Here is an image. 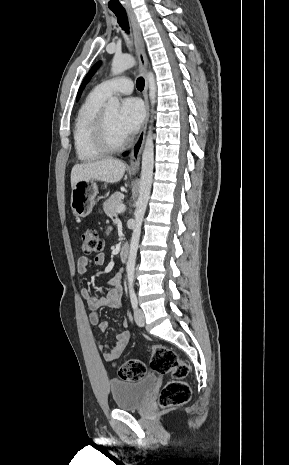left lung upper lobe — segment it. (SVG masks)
<instances>
[{
	"instance_id": "5c2ea615",
	"label": "left lung upper lobe",
	"mask_w": 289,
	"mask_h": 465,
	"mask_svg": "<svg viewBox=\"0 0 289 465\" xmlns=\"http://www.w3.org/2000/svg\"><path fill=\"white\" fill-rule=\"evenodd\" d=\"M100 65V62H98L97 64H95L93 66V68L89 71V73L86 75L85 79L83 80L80 88H79V91H78V95H77V99H79L80 95H81V92L83 90V88L85 87V85L89 82L90 78L92 77V75L94 74V72L96 71V69L98 68V66Z\"/></svg>"
}]
</instances>
